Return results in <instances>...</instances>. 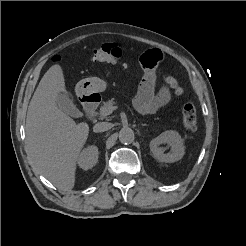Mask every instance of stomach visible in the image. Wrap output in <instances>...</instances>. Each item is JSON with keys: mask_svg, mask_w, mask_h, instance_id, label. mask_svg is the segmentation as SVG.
<instances>
[{"mask_svg": "<svg viewBox=\"0 0 246 246\" xmlns=\"http://www.w3.org/2000/svg\"><path fill=\"white\" fill-rule=\"evenodd\" d=\"M107 83L98 77H89L82 79L76 85V91L79 95L90 96L106 90Z\"/></svg>", "mask_w": 246, "mask_h": 246, "instance_id": "stomach-1", "label": "stomach"}]
</instances>
